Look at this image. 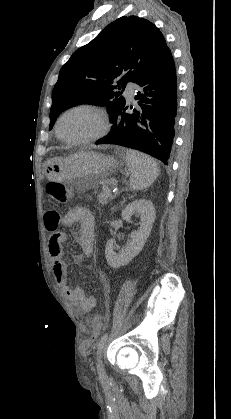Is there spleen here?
Here are the masks:
<instances>
[{
  "instance_id": "3e777b00",
  "label": "spleen",
  "mask_w": 231,
  "mask_h": 419,
  "mask_svg": "<svg viewBox=\"0 0 231 419\" xmlns=\"http://www.w3.org/2000/svg\"><path fill=\"white\" fill-rule=\"evenodd\" d=\"M126 162L130 174V188L143 190L150 186L159 175L157 162L150 156L141 152L127 149Z\"/></svg>"
}]
</instances>
